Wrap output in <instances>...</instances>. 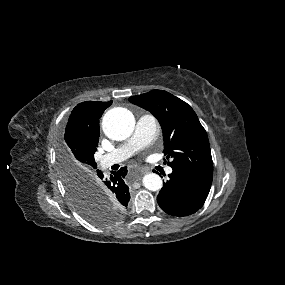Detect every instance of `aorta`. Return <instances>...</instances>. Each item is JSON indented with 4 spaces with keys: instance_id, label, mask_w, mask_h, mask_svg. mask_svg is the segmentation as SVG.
Listing matches in <instances>:
<instances>
[{
    "instance_id": "1",
    "label": "aorta",
    "mask_w": 285,
    "mask_h": 285,
    "mask_svg": "<svg viewBox=\"0 0 285 285\" xmlns=\"http://www.w3.org/2000/svg\"><path fill=\"white\" fill-rule=\"evenodd\" d=\"M135 120L133 114L126 108L117 107L109 110L102 121L105 135L114 140H124L133 132ZM143 185L150 191H158L162 188V179L155 173L146 174L143 177Z\"/></svg>"
}]
</instances>
